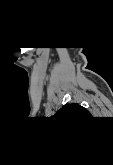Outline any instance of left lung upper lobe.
Instances as JSON below:
<instances>
[{"instance_id": "left-lung-upper-lobe-1", "label": "left lung upper lobe", "mask_w": 113, "mask_h": 165, "mask_svg": "<svg viewBox=\"0 0 113 165\" xmlns=\"http://www.w3.org/2000/svg\"><path fill=\"white\" fill-rule=\"evenodd\" d=\"M57 114L71 116V117H78V116H88L89 112L81 105L74 103L63 106L57 112Z\"/></svg>"}]
</instances>
